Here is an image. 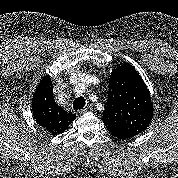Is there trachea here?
<instances>
[{"label": "trachea", "instance_id": "3493384b", "mask_svg": "<svg viewBox=\"0 0 178 178\" xmlns=\"http://www.w3.org/2000/svg\"><path fill=\"white\" fill-rule=\"evenodd\" d=\"M85 104H86L85 99L83 97H78L73 102V108L75 110L83 109V107L85 106Z\"/></svg>", "mask_w": 178, "mask_h": 178}]
</instances>
